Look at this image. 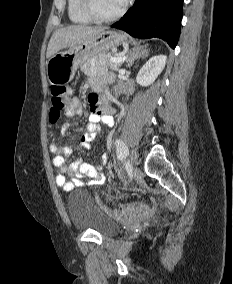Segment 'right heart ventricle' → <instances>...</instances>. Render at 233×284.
I'll list each match as a JSON object with an SVG mask.
<instances>
[{
  "label": "right heart ventricle",
  "instance_id": "1",
  "mask_svg": "<svg viewBox=\"0 0 233 284\" xmlns=\"http://www.w3.org/2000/svg\"><path fill=\"white\" fill-rule=\"evenodd\" d=\"M67 13L74 24L87 25L93 21L83 8V0H67Z\"/></svg>",
  "mask_w": 233,
  "mask_h": 284
}]
</instances>
